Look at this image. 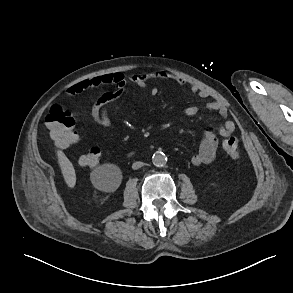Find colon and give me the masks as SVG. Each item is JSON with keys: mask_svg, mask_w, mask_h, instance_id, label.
<instances>
[{"mask_svg": "<svg viewBox=\"0 0 293 293\" xmlns=\"http://www.w3.org/2000/svg\"><path fill=\"white\" fill-rule=\"evenodd\" d=\"M45 124L49 130L54 143L59 147H66L75 144L78 135L75 131V120L72 114L60 105H54L50 108L45 118ZM225 153L232 159L238 157V140L233 137H227L223 141ZM101 158V149L92 147L87 153L79 159L81 166L94 168L99 164Z\"/></svg>", "mask_w": 293, "mask_h": 293, "instance_id": "5ec220e1", "label": "colon"}]
</instances>
